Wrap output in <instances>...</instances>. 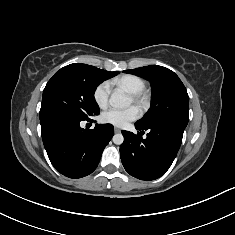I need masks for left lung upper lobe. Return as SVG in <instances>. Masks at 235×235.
<instances>
[{
    "label": "left lung upper lobe",
    "mask_w": 235,
    "mask_h": 235,
    "mask_svg": "<svg viewBox=\"0 0 235 235\" xmlns=\"http://www.w3.org/2000/svg\"><path fill=\"white\" fill-rule=\"evenodd\" d=\"M123 72L140 76L151 83V107L136 124L143 127L163 123L187 126L189 96L184 84L173 71L166 67L150 65Z\"/></svg>",
    "instance_id": "5c2ea615"
}]
</instances>
